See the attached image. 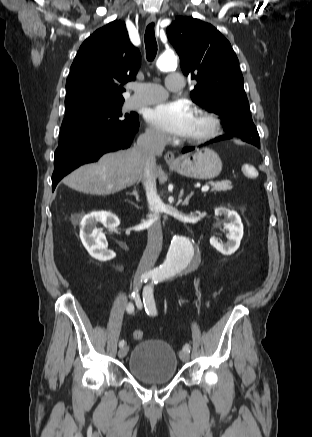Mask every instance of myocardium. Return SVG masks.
Listing matches in <instances>:
<instances>
[{
  "label": "myocardium",
  "instance_id": "myocardium-1",
  "mask_svg": "<svg viewBox=\"0 0 312 437\" xmlns=\"http://www.w3.org/2000/svg\"><path fill=\"white\" fill-rule=\"evenodd\" d=\"M195 116L200 118L205 122V129L199 134L187 138L185 140L188 144H201L205 143L211 139H213L219 133L221 129L220 119L213 113L203 110L197 109L195 111Z\"/></svg>",
  "mask_w": 312,
  "mask_h": 437
}]
</instances>
